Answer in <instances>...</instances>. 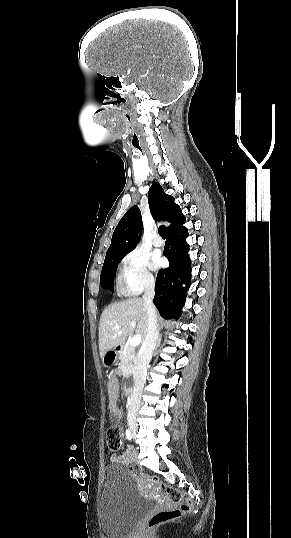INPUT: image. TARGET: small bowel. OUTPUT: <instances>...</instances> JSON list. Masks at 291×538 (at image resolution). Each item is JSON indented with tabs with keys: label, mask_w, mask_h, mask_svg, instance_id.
Instances as JSON below:
<instances>
[{
	"label": "small bowel",
	"mask_w": 291,
	"mask_h": 538,
	"mask_svg": "<svg viewBox=\"0 0 291 538\" xmlns=\"http://www.w3.org/2000/svg\"><path fill=\"white\" fill-rule=\"evenodd\" d=\"M107 388L109 393V408L112 421L119 427L121 411L118 409V380L115 375H111L107 381ZM136 453L133 446H128L125 452L119 455H113L110 457V461L113 463L129 464L134 459Z\"/></svg>",
	"instance_id": "small-bowel-1"
}]
</instances>
